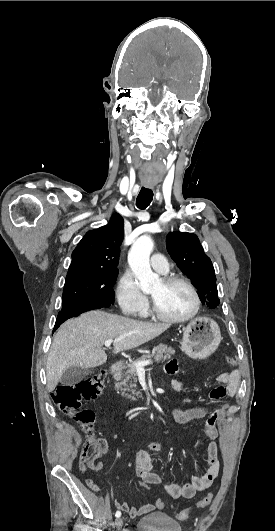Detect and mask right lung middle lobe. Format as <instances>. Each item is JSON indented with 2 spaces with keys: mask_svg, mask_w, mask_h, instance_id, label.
<instances>
[{
  "mask_svg": "<svg viewBox=\"0 0 275 531\" xmlns=\"http://www.w3.org/2000/svg\"><path fill=\"white\" fill-rule=\"evenodd\" d=\"M117 270H88L67 274L63 303L82 302L109 307L114 303Z\"/></svg>",
  "mask_w": 275,
  "mask_h": 531,
  "instance_id": "dd1d6c3e",
  "label": "right lung middle lobe"
}]
</instances>
